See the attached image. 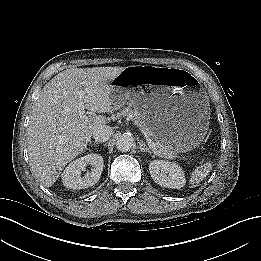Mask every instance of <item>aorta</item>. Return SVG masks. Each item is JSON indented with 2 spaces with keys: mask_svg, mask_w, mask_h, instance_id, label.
I'll return each mask as SVG.
<instances>
[{
  "mask_svg": "<svg viewBox=\"0 0 261 261\" xmlns=\"http://www.w3.org/2000/svg\"><path fill=\"white\" fill-rule=\"evenodd\" d=\"M134 138L130 133L122 134L116 141V147L121 152H127L134 147Z\"/></svg>",
  "mask_w": 261,
  "mask_h": 261,
  "instance_id": "obj_1",
  "label": "aorta"
}]
</instances>
